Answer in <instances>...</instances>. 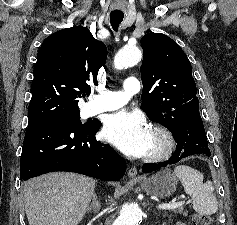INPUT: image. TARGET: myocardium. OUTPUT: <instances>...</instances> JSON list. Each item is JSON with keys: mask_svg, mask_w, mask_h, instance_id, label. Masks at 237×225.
I'll return each instance as SVG.
<instances>
[{"mask_svg": "<svg viewBox=\"0 0 237 225\" xmlns=\"http://www.w3.org/2000/svg\"><path fill=\"white\" fill-rule=\"evenodd\" d=\"M150 134L155 138L156 146L145 154L144 159L148 162H160L169 158L176 145L172 133L162 126L153 125Z\"/></svg>", "mask_w": 237, "mask_h": 225, "instance_id": "myocardium-1", "label": "myocardium"}]
</instances>
